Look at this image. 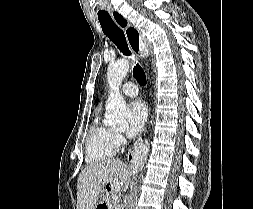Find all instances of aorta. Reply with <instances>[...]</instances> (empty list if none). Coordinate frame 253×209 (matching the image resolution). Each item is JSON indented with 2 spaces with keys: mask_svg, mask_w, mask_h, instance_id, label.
I'll return each instance as SVG.
<instances>
[{
  "mask_svg": "<svg viewBox=\"0 0 253 209\" xmlns=\"http://www.w3.org/2000/svg\"><path fill=\"white\" fill-rule=\"evenodd\" d=\"M130 68L128 59H121L110 64L107 71V81L110 95L107 101V117L105 123L109 126L125 128L129 123L130 110L120 93V86Z\"/></svg>",
  "mask_w": 253,
  "mask_h": 209,
  "instance_id": "1",
  "label": "aorta"
}]
</instances>
